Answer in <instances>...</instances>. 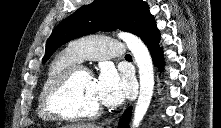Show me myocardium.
<instances>
[{"label": "myocardium", "mask_w": 221, "mask_h": 128, "mask_svg": "<svg viewBox=\"0 0 221 128\" xmlns=\"http://www.w3.org/2000/svg\"><path fill=\"white\" fill-rule=\"evenodd\" d=\"M80 72H86L90 75V71L85 66L80 64L73 65L53 80L45 89L42 105L47 115L65 121L91 120L100 116L102 113L101 106L89 112H72L60 105V99L67 92L74 78Z\"/></svg>", "instance_id": "f54148a6"}]
</instances>
